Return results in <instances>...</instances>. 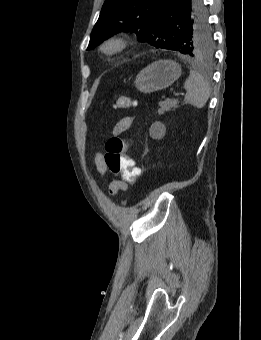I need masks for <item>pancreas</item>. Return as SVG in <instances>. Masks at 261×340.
<instances>
[{
    "instance_id": "obj_1",
    "label": "pancreas",
    "mask_w": 261,
    "mask_h": 340,
    "mask_svg": "<svg viewBox=\"0 0 261 340\" xmlns=\"http://www.w3.org/2000/svg\"><path fill=\"white\" fill-rule=\"evenodd\" d=\"M179 106V101L178 100H170V99H166L162 102L159 103V109H158V114L162 115L165 112L170 111L172 108H178Z\"/></svg>"
}]
</instances>
